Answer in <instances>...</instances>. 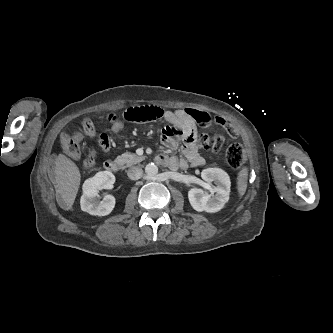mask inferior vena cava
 <instances>
[{
  "label": "inferior vena cava",
  "instance_id": "obj_1",
  "mask_svg": "<svg viewBox=\"0 0 333 333\" xmlns=\"http://www.w3.org/2000/svg\"><path fill=\"white\" fill-rule=\"evenodd\" d=\"M142 169L140 167L134 166L128 169L127 175L131 180H138L142 177Z\"/></svg>",
  "mask_w": 333,
  "mask_h": 333
}]
</instances>
